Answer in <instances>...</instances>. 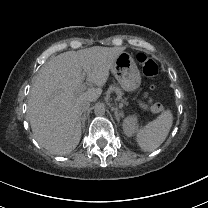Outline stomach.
Here are the masks:
<instances>
[{
    "label": "stomach",
    "instance_id": "stomach-1",
    "mask_svg": "<svg viewBox=\"0 0 208 208\" xmlns=\"http://www.w3.org/2000/svg\"><path fill=\"white\" fill-rule=\"evenodd\" d=\"M111 70L122 90L130 93L139 90L142 76L135 60L129 53L122 52L115 60Z\"/></svg>",
    "mask_w": 208,
    "mask_h": 208
}]
</instances>
